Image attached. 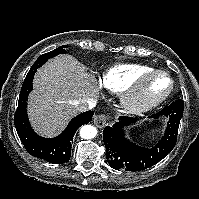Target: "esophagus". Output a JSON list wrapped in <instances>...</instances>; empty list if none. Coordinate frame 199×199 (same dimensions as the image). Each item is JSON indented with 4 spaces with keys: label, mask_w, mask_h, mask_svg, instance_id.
<instances>
[{
    "label": "esophagus",
    "mask_w": 199,
    "mask_h": 199,
    "mask_svg": "<svg viewBox=\"0 0 199 199\" xmlns=\"http://www.w3.org/2000/svg\"><path fill=\"white\" fill-rule=\"evenodd\" d=\"M93 121L98 128H103L108 122V117L105 114H97Z\"/></svg>",
    "instance_id": "34e87169"
}]
</instances>
